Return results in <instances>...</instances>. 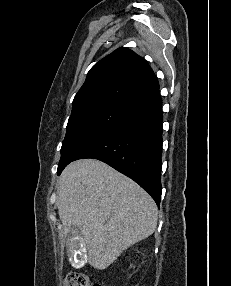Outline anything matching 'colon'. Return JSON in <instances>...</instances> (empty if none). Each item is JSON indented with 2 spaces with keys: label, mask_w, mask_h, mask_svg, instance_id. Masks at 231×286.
<instances>
[{
  "label": "colon",
  "mask_w": 231,
  "mask_h": 286,
  "mask_svg": "<svg viewBox=\"0 0 231 286\" xmlns=\"http://www.w3.org/2000/svg\"><path fill=\"white\" fill-rule=\"evenodd\" d=\"M64 286H101L92 283L89 277L82 272H70L64 278Z\"/></svg>",
  "instance_id": "colon-1"
}]
</instances>
